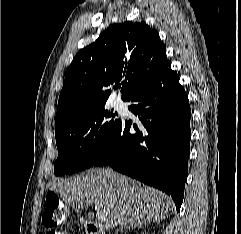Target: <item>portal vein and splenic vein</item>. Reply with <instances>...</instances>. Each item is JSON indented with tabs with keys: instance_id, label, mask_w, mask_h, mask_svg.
Segmentation results:
<instances>
[{
	"instance_id": "1",
	"label": "portal vein and splenic vein",
	"mask_w": 241,
	"mask_h": 234,
	"mask_svg": "<svg viewBox=\"0 0 241 234\" xmlns=\"http://www.w3.org/2000/svg\"><path fill=\"white\" fill-rule=\"evenodd\" d=\"M97 207H95V210L97 211ZM96 218L98 219V221H102L103 220V217H102V215H101V213H99V212H97L96 213Z\"/></svg>"
}]
</instances>
